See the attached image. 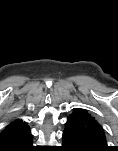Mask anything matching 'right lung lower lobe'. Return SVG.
<instances>
[{
    "instance_id": "right-lung-lower-lobe-1",
    "label": "right lung lower lobe",
    "mask_w": 118,
    "mask_h": 151,
    "mask_svg": "<svg viewBox=\"0 0 118 151\" xmlns=\"http://www.w3.org/2000/svg\"><path fill=\"white\" fill-rule=\"evenodd\" d=\"M35 150L33 145H32V141L30 143H28L27 145L21 147L20 149H17L15 151H32Z\"/></svg>"
}]
</instances>
